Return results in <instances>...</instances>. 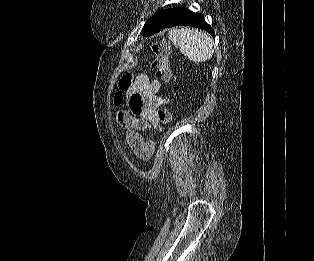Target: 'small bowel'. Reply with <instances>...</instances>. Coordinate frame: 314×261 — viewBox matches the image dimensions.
Returning a JSON list of instances; mask_svg holds the SVG:
<instances>
[{"label": "small bowel", "instance_id": "obj_1", "mask_svg": "<svg viewBox=\"0 0 314 261\" xmlns=\"http://www.w3.org/2000/svg\"><path fill=\"white\" fill-rule=\"evenodd\" d=\"M160 89L157 80L150 79L145 73L138 74L125 94L126 109L117 114V122L125 131L129 147L142 160H149L154 152V143L144 139L142 133L160 126L157 115Z\"/></svg>", "mask_w": 314, "mask_h": 261}]
</instances>
